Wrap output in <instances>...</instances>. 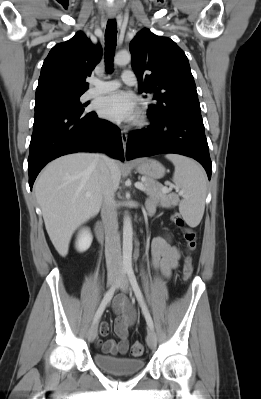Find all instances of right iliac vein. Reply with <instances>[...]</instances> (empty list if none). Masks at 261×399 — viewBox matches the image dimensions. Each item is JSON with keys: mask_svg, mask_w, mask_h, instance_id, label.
I'll return each instance as SVG.
<instances>
[{"mask_svg": "<svg viewBox=\"0 0 261 399\" xmlns=\"http://www.w3.org/2000/svg\"><path fill=\"white\" fill-rule=\"evenodd\" d=\"M117 282V275L115 274H110L108 276V285L113 286ZM97 330H98V325L97 323H94L91 325L88 331V340L89 342H93L97 336Z\"/></svg>", "mask_w": 261, "mask_h": 399, "instance_id": "obj_1", "label": "right iliac vein"}]
</instances>
